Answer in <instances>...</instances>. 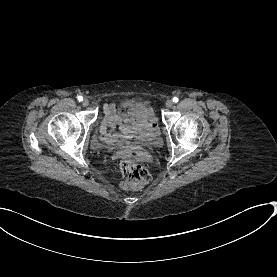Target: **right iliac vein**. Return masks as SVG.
I'll return each instance as SVG.
<instances>
[{
    "label": "right iliac vein",
    "mask_w": 277,
    "mask_h": 277,
    "mask_svg": "<svg viewBox=\"0 0 277 277\" xmlns=\"http://www.w3.org/2000/svg\"><path fill=\"white\" fill-rule=\"evenodd\" d=\"M82 105L83 106H88L89 105V100L88 99H84L83 101H82Z\"/></svg>",
    "instance_id": "1"
}]
</instances>
